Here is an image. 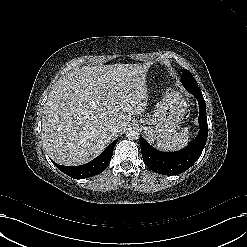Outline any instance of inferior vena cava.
<instances>
[{"label":"inferior vena cava","instance_id":"inferior-vena-cava-1","mask_svg":"<svg viewBox=\"0 0 247 247\" xmlns=\"http://www.w3.org/2000/svg\"><path fill=\"white\" fill-rule=\"evenodd\" d=\"M107 131L112 134H117L119 132V125L116 123H112L107 127Z\"/></svg>","mask_w":247,"mask_h":247}]
</instances>
